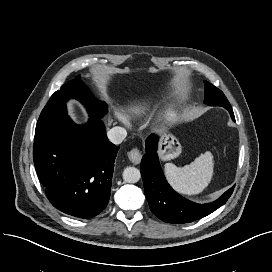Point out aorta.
Wrapping results in <instances>:
<instances>
[{
	"instance_id": "obj_1",
	"label": "aorta",
	"mask_w": 272,
	"mask_h": 272,
	"mask_svg": "<svg viewBox=\"0 0 272 272\" xmlns=\"http://www.w3.org/2000/svg\"><path fill=\"white\" fill-rule=\"evenodd\" d=\"M123 179L128 183H136L140 180V171L135 167H127L123 171Z\"/></svg>"
}]
</instances>
